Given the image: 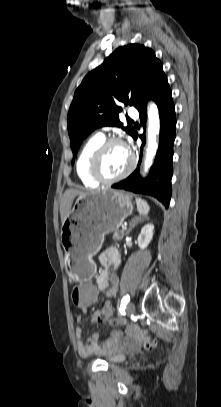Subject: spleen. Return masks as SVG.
Masks as SVG:
<instances>
[{
    "mask_svg": "<svg viewBox=\"0 0 221 407\" xmlns=\"http://www.w3.org/2000/svg\"><path fill=\"white\" fill-rule=\"evenodd\" d=\"M136 204L139 214L146 216L150 210L148 203L141 198H136Z\"/></svg>",
    "mask_w": 221,
    "mask_h": 407,
    "instance_id": "1",
    "label": "spleen"
}]
</instances>
